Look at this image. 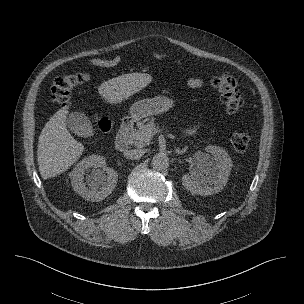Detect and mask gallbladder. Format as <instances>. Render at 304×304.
Returning <instances> with one entry per match:
<instances>
[{
    "label": "gallbladder",
    "mask_w": 304,
    "mask_h": 304,
    "mask_svg": "<svg viewBox=\"0 0 304 304\" xmlns=\"http://www.w3.org/2000/svg\"><path fill=\"white\" fill-rule=\"evenodd\" d=\"M66 123L70 131L77 136L89 137L93 134L92 124L84 113H70L66 119Z\"/></svg>",
    "instance_id": "1"
}]
</instances>
